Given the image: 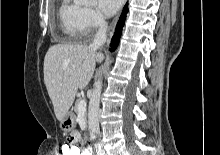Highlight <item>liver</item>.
I'll return each mask as SVG.
<instances>
[{"label": "liver", "mask_w": 220, "mask_h": 155, "mask_svg": "<svg viewBox=\"0 0 220 155\" xmlns=\"http://www.w3.org/2000/svg\"><path fill=\"white\" fill-rule=\"evenodd\" d=\"M102 54L85 45L56 44L44 58V83L60 122L72 106L78 89L91 80Z\"/></svg>", "instance_id": "obj_1"}]
</instances>
